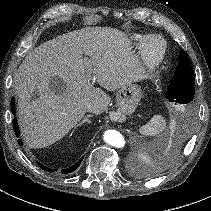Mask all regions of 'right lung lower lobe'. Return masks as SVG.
<instances>
[{
	"instance_id": "98d812e1",
	"label": "right lung lower lobe",
	"mask_w": 211,
	"mask_h": 211,
	"mask_svg": "<svg viewBox=\"0 0 211 211\" xmlns=\"http://www.w3.org/2000/svg\"><path fill=\"white\" fill-rule=\"evenodd\" d=\"M11 111H12L13 114H15V101H14V98L11 99ZM13 125H14L15 134H16L17 137H19V129H18L16 118H14V120H13ZM18 143H19V145H22V141L21 140H18ZM83 158H84V156H82L80 158V160L76 164H74L73 166L61 170V173L67 174V173H71V172L75 171L80 166ZM38 165H39V167L41 169L47 170L48 172H53L54 171L53 169H49V168L45 167L44 165H42L40 163H38Z\"/></svg>"
}]
</instances>
